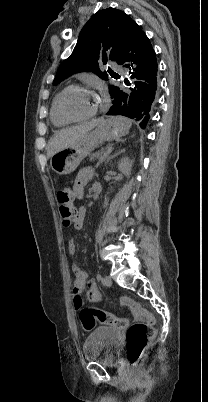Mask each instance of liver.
<instances>
[{
  "instance_id": "liver-1",
  "label": "liver",
  "mask_w": 208,
  "mask_h": 402,
  "mask_svg": "<svg viewBox=\"0 0 208 402\" xmlns=\"http://www.w3.org/2000/svg\"><path fill=\"white\" fill-rule=\"evenodd\" d=\"M104 120L99 118V120H92V122H87V124H81V126H72V128H64L60 132H55L52 140L48 144L47 158H51L56 152L64 150L70 144H75L79 142L82 138H85L86 134L93 130L95 126L102 124Z\"/></svg>"
}]
</instances>
